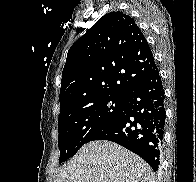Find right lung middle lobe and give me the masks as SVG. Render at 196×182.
I'll use <instances>...</instances> for the list:
<instances>
[{
    "label": "right lung middle lobe",
    "instance_id": "obj_1",
    "mask_svg": "<svg viewBox=\"0 0 196 182\" xmlns=\"http://www.w3.org/2000/svg\"><path fill=\"white\" fill-rule=\"evenodd\" d=\"M126 98L103 96L61 112L58 119L59 163L76 154L78 149L119 115Z\"/></svg>",
    "mask_w": 196,
    "mask_h": 182
}]
</instances>
